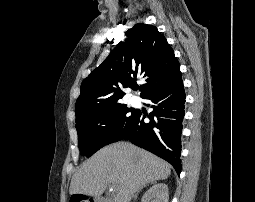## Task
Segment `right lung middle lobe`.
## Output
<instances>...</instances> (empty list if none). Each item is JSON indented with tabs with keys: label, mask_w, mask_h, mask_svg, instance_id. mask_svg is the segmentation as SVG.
Here are the masks:
<instances>
[{
	"label": "right lung middle lobe",
	"mask_w": 255,
	"mask_h": 202,
	"mask_svg": "<svg viewBox=\"0 0 255 202\" xmlns=\"http://www.w3.org/2000/svg\"><path fill=\"white\" fill-rule=\"evenodd\" d=\"M137 113L125 104L117 103L76 119L81 154L90 157L105 145L121 140L134 123Z\"/></svg>",
	"instance_id": "right-lung-middle-lobe-1"
}]
</instances>
